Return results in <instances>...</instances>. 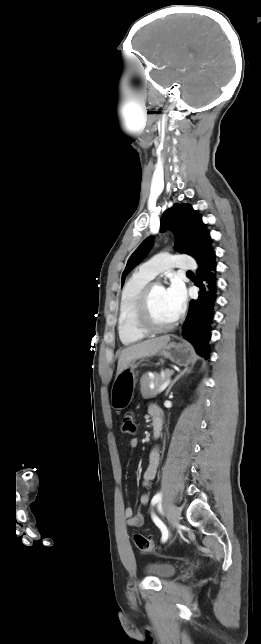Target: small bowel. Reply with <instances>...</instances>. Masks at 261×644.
<instances>
[{"label":"small bowel","mask_w":261,"mask_h":644,"mask_svg":"<svg viewBox=\"0 0 261 644\" xmlns=\"http://www.w3.org/2000/svg\"><path fill=\"white\" fill-rule=\"evenodd\" d=\"M148 412L153 418L155 414L161 415L159 408L155 405L149 406ZM138 440L132 439L130 441V447L136 448L138 446ZM160 461V450L158 447H155L151 450L149 454V463L146 470L143 473L142 483L144 486H148L150 482L154 479L157 468ZM140 506H147L150 503V497L148 494H142L139 499ZM124 516L126 518L127 524L133 528H139L143 526L145 522V517L141 512L134 513L131 507H126L124 510Z\"/></svg>","instance_id":"obj_1"}]
</instances>
